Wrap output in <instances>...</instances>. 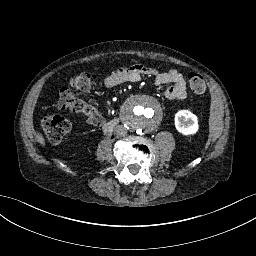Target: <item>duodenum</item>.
Returning a JSON list of instances; mask_svg holds the SVG:
<instances>
[{
	"label": "duodenum",
	"mask_w": 256,
	"mask_h": 256,
	"mask_svg": "<svg viewBox=\"0 0 256 256\" xmlns=\"http://www.w3.org/2000/svg\"><path fill=\"white\" fill-rule=\"evenodd\" d=\"M120 123V120L117 118L106 121L103 124V132L107 135H110L113 132V130L120 125Z\"/></svg>",
	"instance_id": "410a0bca"
}]
</instances>
